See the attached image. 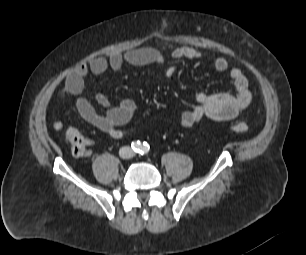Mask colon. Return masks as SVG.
Returning <instances> with one entry per match:
<instances>
[{
    "label": "colon",
    "instance_id": "colon-1",
    "mask_svg": "<svg viewBox=\"0 0 306 255\" xmlns=\"http://www.w3.org/2000/svg\"><path fill=\"white\" fill-rule=\"evenodd\" d=\"M229 129L237 133H246L249 126L245 122H234L229 126ZM66 139L71 145V152L73 156L81 158L88 154V140L76 128H69L66 131Z\"/></svg>",
    "mask_w": 306,
    "mask_h": 255
}]
</instances>
